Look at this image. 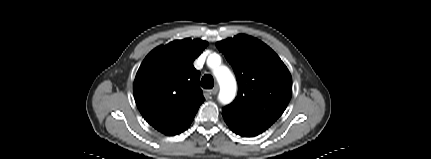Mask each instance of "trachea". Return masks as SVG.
I'll return each mask as SVG.
<instances>
[{
  "label": "trachea",
  "mask_w": 431,
  "mask_h": 159,
  "mask_svg": "<svg viewBox=\"0 0 431 159\" xmlns=\"http://www.w3.org/2000/svg\"><path fill=\"white\" fill-rule=\"evenodd\" d=\"M201 87L205 88V89H211L214 86V80L213 77L209 74H206L202 77L201 79Z\"/></svg>",
  "instance_id": "1"
}]
</instances>
